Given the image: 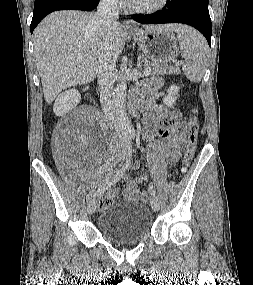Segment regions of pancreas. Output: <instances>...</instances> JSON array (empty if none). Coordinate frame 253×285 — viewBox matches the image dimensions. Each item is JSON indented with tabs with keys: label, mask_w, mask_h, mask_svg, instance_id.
Returning <instances> with one entry per match:
<instances>
[{
	"label": "pancreas",
	"mask_w": 253,
	"mask_h": 285,
	"mask_svg": "<svg viewBox=\"0 0 253 285\" xmlns=\"http://www.w3.org/2000/svg\"><path fill=\"white\" fill-rule=\"evenodd\" d=\"M145 68H151V75H174V74H181V70L178 65L168 66L167 64L155 63L145 61L144 63Z\"/></svg>",
	"instance_id": "cf45deb5"
}]
</instances>
